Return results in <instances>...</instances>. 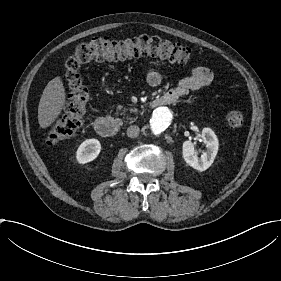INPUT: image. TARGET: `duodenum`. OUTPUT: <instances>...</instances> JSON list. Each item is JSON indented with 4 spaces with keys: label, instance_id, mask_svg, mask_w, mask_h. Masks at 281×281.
Returning <instances> with one entry per match:
<instances>
[{
    "label": "duodenum",
    "instance_id": "duodenum-1",
    "mask_svg": "<svg viewBox=\"0 0 281 281\" xmlns=\"http://www.w3.org/2000/svg\"><path fill=\"white\" fill-rule=\"evenodd\" d=\"M170 104V100L165 96H160L150 102L152 107L163 106ZM96 131L104 137H111L117 134L119 130L118 123L110 117H99L95 121Z\"/></svg>",
    "mask_w": 281,
    "mask_h": 281
}]
</instances>
